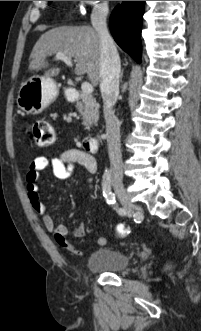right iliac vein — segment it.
<instances>
[{"label": "right iliac vein", "mask_w": 201, "mask_h": 331, "mask_svg": "<svg viewBox=\"0 0 201 331\" xmlns=\"http://www.w3.org/2000/svg\"><path fill=\"white\" fill-rule=\"evenodd\" d=\"M113 186L121 204L127 210L128 215L131 216L135 205L130 201V198L124 188L122 181L120 179H115Z\"/></svg>", "instance_id": "1"}]
</instances>
